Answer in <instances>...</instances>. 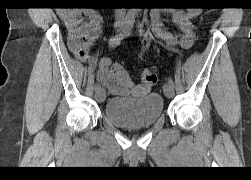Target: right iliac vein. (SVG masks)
I'll list each match as a JSON object with an SVG mask.
<instances>
[{"label": "right iliac vein", "mask_w": 251, "mask_h": 180, "mask_svg": "<svg viewBox=\"0 0 251 180\" xmlns=\"http://www.w3.org/2000/svg\"><path fill=\"white\" fill-rule=\"evenodd\" d=\"M123 27H124V22H122V21L116 22V24H115V29H116L117 31L122 30ZM105 98H106L105 89L100 87V88L97 89L96 92H95V99H96L98 102L101 103V102H103V101L105 100Z\"/></svg>", "instance_id": "right-iliac-vein-1"}]
</instances>
